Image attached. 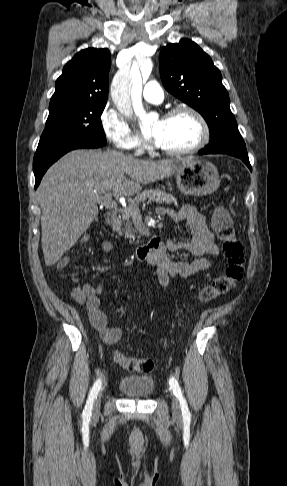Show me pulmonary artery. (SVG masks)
<instances>
[{
    "label": "pulmonary artery",
    "instance_id": "e3ab8cb5",
    "mask_svg": "<svg viewBox=\"0 0 287 486\" xmlns=\"http://www.w3.org/2000/svg\"><path fill=\"white\" fill-rule=\"evenodd\" d=\"M143 97L151 103H161L163 101V90L156 81L148 82L143 89Z\"/></svg>",
    "mask_w": 287,
    "mask_h": 486
}]
</instances>
